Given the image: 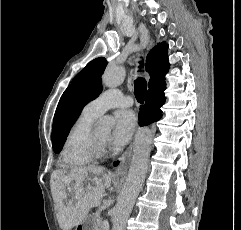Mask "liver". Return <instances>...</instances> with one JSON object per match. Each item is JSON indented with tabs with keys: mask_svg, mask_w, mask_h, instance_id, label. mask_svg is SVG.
<instances>
[{
	"mask_svg": "<svg viewBox=\"0 0 241 230\" xmlns=\"http://www.w3.org/2000/svg\"><path fill=\"white\" fill-rule=\"evenodd\" d=\"M112 176L103 167L56 170L51 174V193L57 210V219L62 230H71L79 225L89 210L100 206ZM71 191L74 200L65 205Z\"/></svg>",
	"mask_w": 241,
	"mask_h": 230,
	"instance_id": "1",
	"label": "liver"
}]
</instances>
